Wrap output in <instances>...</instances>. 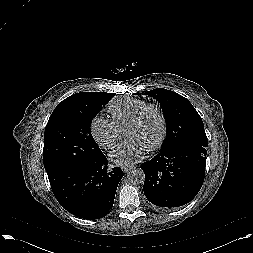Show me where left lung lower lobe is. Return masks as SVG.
Instances as JSON below:
<instances>
[{
	"label": "left lung lower lobe",
	"mask_w": 253,
	"mask_h": 253,
	"mask_svg": "<svg viewBox=\"0 0 253 253\" xmlns=\"http://www.w3.org/2000/svg\"><path fill=\"white\" fill-rule=\"evenodd\" d=\"M205 146L184 143L160 150L141 164L145 173L143 191L152 204L174 208L187 204L199 192L205 176Z\"/></svg>",
	"instance_id": "left-lung-lower-lobe-1"
}]
</instances>
